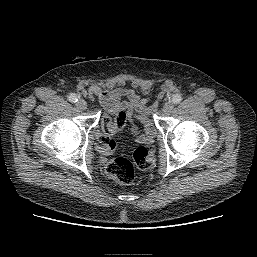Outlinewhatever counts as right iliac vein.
<instances>
[{"instance_id": "obj_1", "label": "right iliac vein", "mask_w": 257, "mask_h": 257, "mask_svg": "<svg viewBox=\"0 0 257 257\" xmlns=\"http://www.w3.org/2000/svg\"><path fill=\"white\" fill-rule=\"evenodd\" d=\"M76 106L80 110H86L87 109V103L83 99H79L76 103Z\"/></svg>"}]
</instances>
